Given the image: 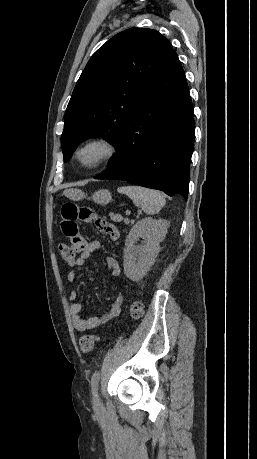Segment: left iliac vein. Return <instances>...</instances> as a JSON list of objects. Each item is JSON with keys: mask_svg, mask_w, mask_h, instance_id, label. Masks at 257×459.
I'll use <instances>...</instances> for the list:
<instances>
[{"mask_svg": "<svg viewBox=\"0 0 257 459\" xmlns=\"http://www.w3.org/2000/svg\"><path fill=\"white\" fill-rule=\"evenodd\" d=\"M93 405L96 409H98L100 406H101V402H100V399L97 395V393L94 394V397H93Z\"/></svg>", "mask_w": 257, "mask_h": 459, "instance_id": "1", "label": "left iliac vein"}]
</instances>
